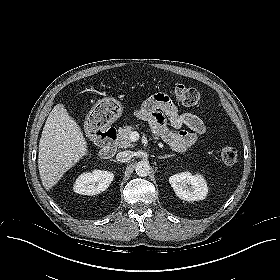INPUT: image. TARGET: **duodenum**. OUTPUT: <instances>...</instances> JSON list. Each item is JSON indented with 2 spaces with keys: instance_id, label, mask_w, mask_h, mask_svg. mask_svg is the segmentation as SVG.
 Returning a JSON list of instances; mask_svg holds the SVG:
<instances>
[{
  "instance_id": "obj_1",
  "label": "duodenum",
  "mask_w": 280,
  "mask_h": 280,
  "mask_svg": "<svg viewBox=\"0 0 280 280\" xmlns=\"http://www.w3.org/2000/svg\"><path fill=\"white\" fill-rule=\"evenodd\" d=\"M117 135L118 131L114 125H109L98 133V138L101 141L100 156L103 159L113 157Z\"/></svg>"
}]
</instances>
